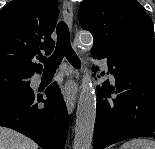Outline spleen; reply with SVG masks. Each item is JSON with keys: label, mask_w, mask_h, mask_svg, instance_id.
<instances>
[{"label": "spleen", "mask_w": 155, "mask_h": 149, "mask_svg": "<svg viewBox=\"0 0 155 149\" xmlns=\"http://www.w3.org/2000/svg\"><path fill=\"white\" fill-rule=\"evenodd\" d=\"M120 149H155V141L145 138L132 139L125 142Z\"/></svg>", "instance_id": "1"}]
</instances>
